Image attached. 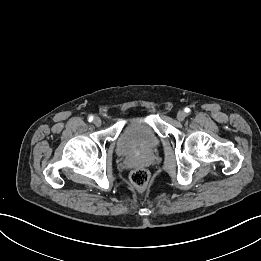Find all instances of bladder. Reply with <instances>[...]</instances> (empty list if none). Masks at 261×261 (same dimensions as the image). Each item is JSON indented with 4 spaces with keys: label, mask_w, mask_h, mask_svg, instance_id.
<instances>
[{
    "label": "bladder",
    "mask_w": 261,
    "mask_h": 261,
    "mask_svg": "<svg viewBox=\"0 0 261 261\" xmlns=\"http://www.w3.org/2000/svg\"><path fill=\"white\" fill-rule=\"evenodd\" d=\"M160 138L151 125L138 117L130 121L117 140V153L130 155L136 152L151 151L159 147Z\"/></svg>",
    "instance_id": "1"
}]
</instances>
